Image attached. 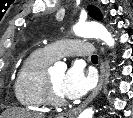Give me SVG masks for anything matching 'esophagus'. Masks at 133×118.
I'll use <instances>...</instances> for the list:
<instances>
[{
	"label": "esophagus",
	"instance_id": "esophagus-1",
	"mask_svg": "<svg viewBox=\"0 0 133 118\" xmlns=\"http://www.w3.org/2000/svg\"><path fill=\"white\" fill-rule=\"evenodd\" d=\"M104 75H105V64L101 60L100 62V75H99V81L95 89L91 92V94L86 98L84 102H82L79 106H77L74 109H71L65 113H62L60 115V118H75L82 110L87 106L88 103H90L93 98L99 93V91L102 88L103 82H104Z\"/></svg>",
	"mask_w": 133,
	"mask_h": 118
}]
</instances>
